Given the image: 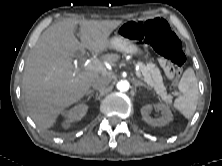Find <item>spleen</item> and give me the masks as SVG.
I'll use <instances>...</instances> for the list:
<instances>
[{"mask_svg":"<svg viewBox=\"0 0 222 166\" xmlns=\"http://www.w3.org/2000/svg\"><path fill=\"white\" fill-rule=\"evenodd\" d=\"M178 88L182 94L174 101V108L190 119L195 113L199 96L198 82L192 68L184 71Z\"/></svg>","mask_w":222,"mask_h":166,"instance_id":"spleen-1","label":"spleen"}]
</instances>
